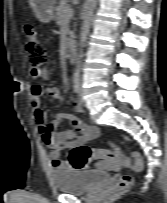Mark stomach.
Returning <instances> with one entry per match:
<instances>
[{"instance_id":"0dacf381","label":"stomach","mask_w":167,"mask_h":203,"mask_svg":"<svg viewBox=\"0 0 167 203\" xmlns=\"http://www.w3.org/2000/svg\"><path fill=\"white\" fill-rule=\"evenodd\" d=\"M39 21L49 23L54 19L56 0H28Z\"/></svg>"}]
</instances>
